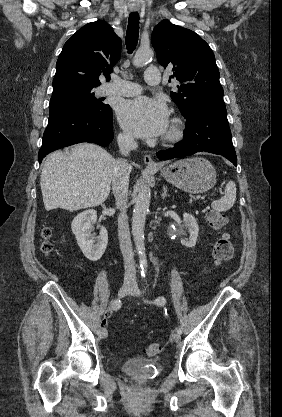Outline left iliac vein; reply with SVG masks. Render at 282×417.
Here are the masks:
<instances>
[{
    "label": "left iliac vein",
    "mask_w": 282,
    "mask_h": 417,
    "mask_svg": "<svg viewBox=\"0 0 282 417\" xmlns=\"http://www.w3.org/2000/svg\"><path fill=\"white\" fill-rule=\"evenodd\" d=\"M129 294L130 295H133V296H139L141 294L140 293V290H139V288L137 286V284H134L133 285V287H132L131 291L129 292ZM172 338H173V340L175 342H179L180 339H181V336H180V334L178 332H175L174 334H172Z\"/></svg>",
    "instance_id": "4c4485c4"
}]
</instances>
